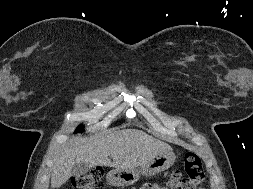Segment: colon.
<instances>
[{
	"label": "colon",
	"instance_id": "5ec220e1",
	"mask_svg": "<svg viewBox=\"0 0 253 189\" xmlns=\"http://www.w3.org/2000/svg\"><path fill=\"white\" fill-rule=\"evenodd\" d=\"M103 170L94 168L87 173L74 177L72 189H104ZM205 180V173L198 154L186 153L184 170H173L169 175L168 189H199Z\"/></svg>",
	"mask_w": 253,
	"mask_h": 189
}]
</instances>
